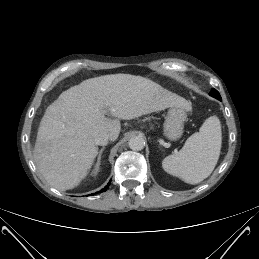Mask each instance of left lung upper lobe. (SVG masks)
<instances>
[{
  "instance_id": "5c2ea615",
  "label": "left lung upper lobe",
  "mask_w": 259,
  "mask_h": 259,
  "mask_svg": "<svg viewBox=\"0 0 259 259\" xmlns=\"http://www.w3.org/2000/svg\"><path fill=\"white\" fill-rule=\"evenodd\" d=\"M209 94L212 97L217 98L218 100H221V96H220L219 92L216 89H213Z\"/></svg>"
}]
</instances>
